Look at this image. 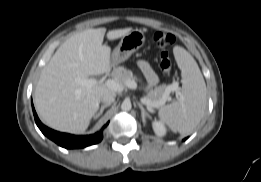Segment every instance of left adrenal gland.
<instances>
[{"label":"left adrenal gland","mask_w":261,"mask_h":182,"mask_svg":"<svg viewBox=\"0 0 261 182\" xmlns=\"http://www.w3.org/2000/svg\"><path fill=\"white\" fill-rule=\"evenodd\" d=\"M138 106L141 109L142 119H143V121H145V117L146 116L150 117V115H149V113L146 111V109L143 107V105L141 103H138Z\"/></svg>","instance_id":"obj_1"}]
</instances>
